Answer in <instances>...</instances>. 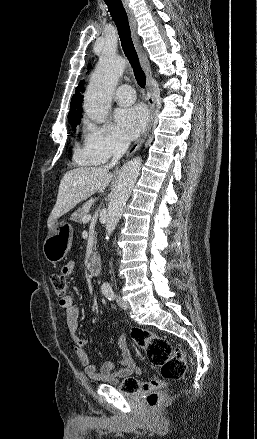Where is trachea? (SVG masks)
<instances>
[{
	"label": "trachea",
	"instance_id": "1",
	"mask_svg": "<svg viewBox=\"0 0 257 439\" xmlns=\"http://www.w3.org/2000/svg\"><path fill=\"white\" fill-rule=\"evenodd\" d=\"M104 1L108 6V11L110 12L111 17L117 26L123 51L133 68L135 79L139 86L145 87L146 84L145 73L139 64L138 55L133 45V41L130 33V26L124 7L120 0H104Z\"/></svg>",
	"mask_w": 257,
	"mask_h": 439
}]
</instances>
